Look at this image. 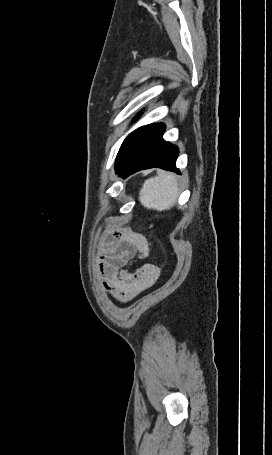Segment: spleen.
<instances>
[{"instance_id": "obj_1", "label": "spleen", "mask_w": 272, "mask_h": 455, "mask_svg": "<svg viewBox=\"0 0 272 455\" xmlns=\"http://www.w3.org/2000/svg\"><path fill=\"white\" fill-rule=\"evenodd\" d=\"M179 189L175 176L162 172L147 179L140 190L139 200L148 209L158 211L171 208L178 197Z\"/></svg>"}]
</instances>
